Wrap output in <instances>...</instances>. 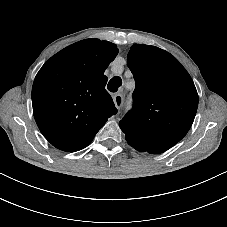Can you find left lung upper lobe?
I'll return each mask as SVG.
<instances>
[{
	"instance_id": "obj_1",
	"label": "left lung upper lobe",
	"mask_w": 227,
	"mask_h": 227,
	"mask_svg": "<svg viewBox=\"0 0 227 227\" xmlns=\"http://www.w3.org/2000/svg\"><path fill=\"white\" fill-rule=\"evenodd\" d=\"M127 64L136 82L134 106L119 126L136 150L162 153L178 143L194 121L195 85L173 55L155 46L134 44Z\"/></svg>"
}]
</instances>
